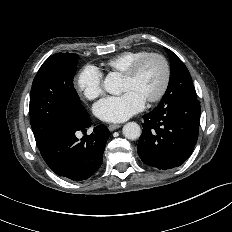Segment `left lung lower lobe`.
<instances>
[{"label":"left lung lower lobe","instance_id":"obj_1","mask_svg":"<svg viewBox=\"0 0 232 232\" xmlns=\"http://www.w3.org/2000/svg\"><path fill=\"white\" fill-rule=\"evenodd\" d=\"M143 118V131L137 145L141 160L160 170L182 165L197 142L199 101L180 98L163 107H156Z\"/></svg>","mask_w":232,"mask_h":232}]
</instances>
